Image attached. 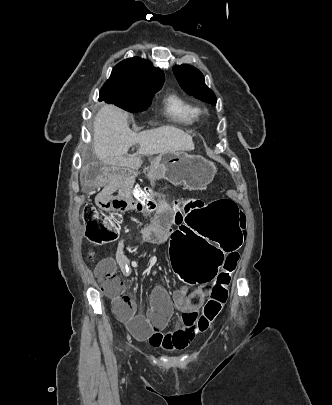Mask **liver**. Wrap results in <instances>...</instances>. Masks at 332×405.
I'll use <instances>...</instances> for the list:
<instances>
[{
  "label": "liver",
  "mask_w": 332,
  "mask_h": 405,
  "mask_svg": "<svg viewBox=\"0 0 332 405\" xmlns=\"http://www.w3.org/2000/svg\"><path fill=\"white\" fill-rule=\"evenodd\" d=\"M128 113L113 105L104 104L93 122V148L104 164L125 163L129 148L139 144V155L192 151V136L174 126L134 133L129 129Z\"/></svg>",
  "instance_id": "obj_1"
}]
</instances>
